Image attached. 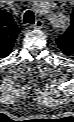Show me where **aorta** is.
I'll use <instances>...</instances> for the list:
<instances>
[{
    "mask_svg": "<svg viewBox=\"0 0 74 122\" xmlns=\"http://www.w3.org/2000/svg\"><path fill=\"white\" fill-rule=\"evenodd\" d=\"M34 8L39 14L46 17L47 22L52 29L56 31H62L64 29L65 26L62 24L65 23H63L62 16L52 13L47 1H35Z\"/></svg>",
    "mask_w": 74,
    "mask_h": 122,
    "instance_id": "obj_1",
    "label": "aorta"
}]
</instances>
